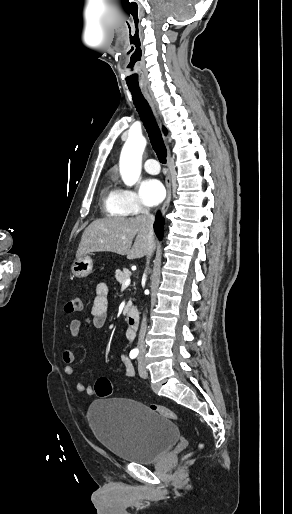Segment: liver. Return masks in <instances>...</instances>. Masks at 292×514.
Segmentation results:
<instances>
[{
  "label": "liver",
  "mask_w": 292,
  "mask_h": 514,
  "mask_svg": "<svg viewBox=\"0 0 292 514\" xmlns=\"http://www.w3.org/2000/svg\"><path fill=\"white\" fill-rule=\"evenodd\" d=\"M135 236L136 240L131 248ZM152 244L155 248L154 240ZM149 246L144 216L101 218L86 228L76 258L90 252H115V254L127 256V260H136L147 256Z\"/></svg>",
  "instance_id": "liver-1"
}]
</instances>
